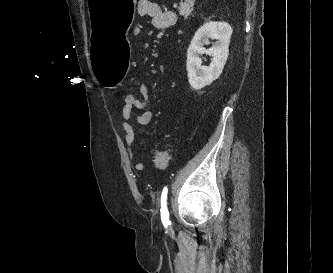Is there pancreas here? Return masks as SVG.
<instances>
[{
    "label": "pancreas",
    "instance_id": "obj_1",
    "mask_svg": "<svg viewBox=\"0 0 333 273\" xmlns=\"http://www.w3.org/2000/svg\"><path fill=\"white\" fill-rule=\"evenodd\" d=\"M194 0H185L181 2L179 7V13L184 19H187L193 10Z\"/></svg>",
    "mask_w": 333,
    "mask_h": 273
}]
</instances>
